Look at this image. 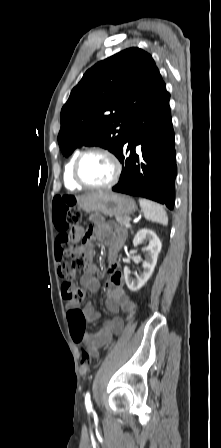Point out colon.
I'll use <instances>...</instances> for the list:
<instances>
[{
	"label": "colon",
	"instance_id": "5ec220e1",
	"mask_svg": "<svg viewBox=\"0 0 221 448\" xmlns=\"http://www.w3.org/2000/svg\"><path fill=\"white\" fill-rule=\"evenodd\" d=\"M81 221V212L76 208V198L64 195L55 198L53 202V223L59 233L55 247L58 273L64 279L62 294L70 307L68 314L71 337L75 342H81L86 335V320L78 306L85 297V290L75 284L76 277L87 267L86 257L73 247L79 234L68 233L71 226H77ZM82 361L88 363L90 356L83 352Z\"/></svg>",
	"mask_w": 221,
	"mask_h": 448
}]
</instances>
